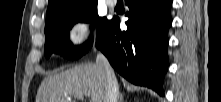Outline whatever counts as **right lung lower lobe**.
Here are the masks:
<instances>
[{"mask_svg":"<svg viewBox=\"0 0 221 102\" xmlns=\"http://www.w3.org/2000/svg\"><path fill=\"white\" fill-rule=\"evenodd\" d=\"M126 5L127 31L120 30L114 17L97 36L95 46L128 81L163 95L172 0H126Z\"/></svg>","mask_w":221,"mask_h":102,"instance_id":"obj_1","label":"right lung lower lobe"}]
</instances>
